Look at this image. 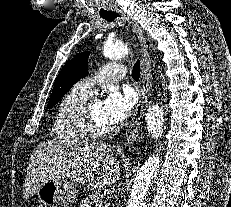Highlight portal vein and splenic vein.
<instances>
[{
	"mask_svg": "<svg viewBox=\"0 0 231 207\" xmlns=\"http://www.w3.org/2000/svg\"><path fill=\"white\" fill-rule=\"evenodd\" d=\"M96 206H97V207H100V205H99L98 203H96Z\"/></svg>",
	"mask_w": 231,
	"mask_h": 207,
	"instance_id": "obj_1",
	"label": "portal vein and splenic vein"
}]
</instances>
